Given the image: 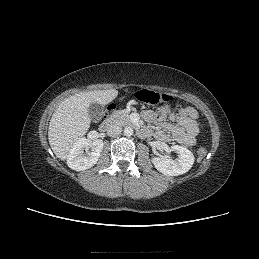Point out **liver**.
Wrapping results in <instances>:
<instances>
[{"label":"liver","instance_id":"1","mask_svg":"<svg viewBox=\"0 0 259 259\" xmlns=\"http://www.w3.org/2000/svg\"><path fill=\"white\" fill-rule=\"evenodd\" d=\"M118 95L116 89L80 92L64 99L54 111L48 129V140L54 154L67 159L74 143L83 137L90 127L88 108L92 103L106 105Z\"/></svg>","mask_w":259,"mask_h":259}]
</instances>
